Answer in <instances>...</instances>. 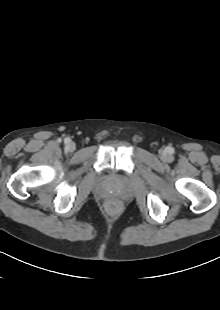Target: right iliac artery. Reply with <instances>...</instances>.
<instances>
[{"label":"right iliac artery","instance_id":"right-iliac-artery-1","mask_svg":"<svg viewBox=\"0 0 220 310\" xmlns=\"http://www.w3.org/2000/svg\"><path fill=\"white\" fill-rule=\"evenodd\" d=\"M70 142V139H65V143H69Z\"/></svg>","mask_w":220,"mask_h":310}]
</instances>
